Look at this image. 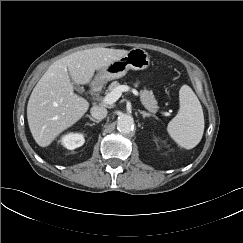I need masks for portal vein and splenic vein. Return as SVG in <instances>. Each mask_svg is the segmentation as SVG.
Segmentation results:
<instances>
[{
	"label": "portal vein and splenic vein",
	"mask_w": 243,
	"mask_h": 243,
	"mask_svg": "<svg viewBox=\"0 0 243 243\" xmlns=\"http://www.w3.org/2000/svg\"><path fill=\"white\" fill-rule=\"evenodd\" d=\"M132 91L133 93H136V90L133 88H130L127 85H120L119 87L115 88L112 92L108 93L103 99L102 102L104 104H113L115 103L122 95V92ZM165 116H168V112H163Z\"/></svg>",
	"instance_id": "1"
}]
</instances>
